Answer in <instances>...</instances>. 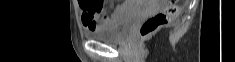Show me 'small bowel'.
<instances>
[{
    "label": "small bowel",
    "instance_id": "obj_1",
    "mask_svg": "<svg viewBox=\"0 0 235 62\" xmlns=\"http://www.w3.org/2000/svg\"><path fill=\"white\" fill-rule=\"evenodd\" d=\"M91 3H93L92 1H80V7L83 11L82 14V21L84 26L88 29V30H92V29H96L98 28L101 23L99 21V13L100 10H94L91 6ZM110 20V18L108 16H104L102 23H106Z\"/></svg>",
    "mask_w": 235,
    "mask_h": 62
}]
</instances>
